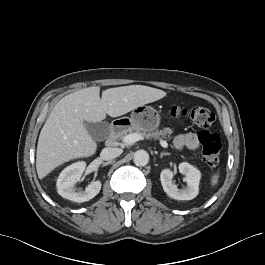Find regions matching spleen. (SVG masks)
<instances>
[{"label":"spleen","mask_w":265,"mask_h":265,"mask_svg":"<svg viewBox=\"0 0 265 265\" xmlns=\"http://www.w3.org/2000/svg\"><path fill=\"white\" fill-rule=\"evenodd\" d=\"M218 180H219V175H218V174H214V175H212V177H211V185H212V186L217 185Z\"/></svg>","instance_id":"1"}]
</instances>
